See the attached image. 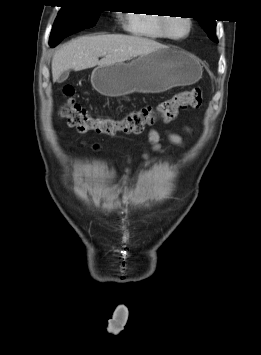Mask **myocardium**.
Listing matches in <instances>:
<instances>
[{
    "label": "myocardium",
    "mask_w": 261,
    "mask_h": 355,
    "mask_svg": "<svg viewBox=\"0 0 261 355\" xmlns=\"http://www.w3.org/2000/svg\"><path fill=\"white\" fill-rule=\"evenodd\" d=\"M172 19H173V17H164L162 19V28L165 33V36L168 39L175 40V41H180V40H184V39L188 38L192 32V19H190V17H187V16L182 17V19H184L188 25V30L185 35L179 36V37L172 35L170 32V23H171Z\"/></svg>",
    "instance_id": "f54148a6"
}]
</instances>
